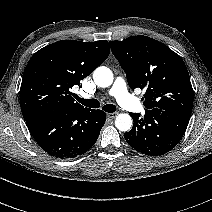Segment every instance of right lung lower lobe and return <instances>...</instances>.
Returning a JSON list of instances; mask_svg holds the SVG:
<instances>
[{
	"label": "right lung lower lobe",
	"mask_w": 212,
	"mask_h": 212,
	"mask_svg": "<svg viewBox=\"0 0 212 212\" xmlns=\"http://www.w3.org/2000/svg\"><path fill=\"white\" fill-rule=\"evenodd\" d=\"M38 143L49 155L75 158L88 151L96 142L106 121L102 110L47 111L25 120Z\"/></svg>",
	"instance_id": "1"
}]
</instances>
